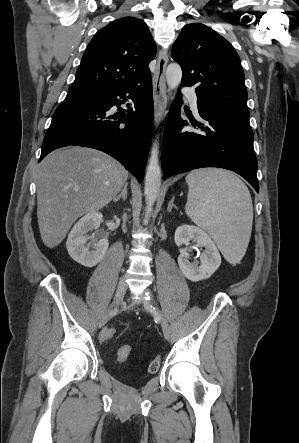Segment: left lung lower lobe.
Here are the masks:
<instances>
[{
  "instance_id": "left-lung-lower-lobe-1",
  "label": "left lung lower lobe",
  "mask_w": 299,
  "mask_h": 443,
  "mask_svg": "<svg viewBox=\"0 0 299 443\" xmlns=\"http://www.w3.org/2000/svg\"><path fill=\"white\" fill-rule=\"evenodd\" d=\"M180 98L172 103L161 154L164 176L202 167L229 169L244 177L259 192L257 159L249 117L206 109L197 103L201 122L181 119Z\"/></svg>"
}]
</instances>
